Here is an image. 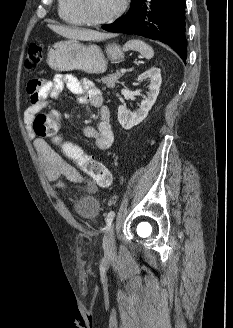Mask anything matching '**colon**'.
Here are the masks:
<instances>
[{"instance_id": "5ec220e1", "label": "colon", "mask_w": 233, "mask_h": 328, "mask_svg": "<svg viewBox=\"0 0 233 328\" xmlns=\"http://www.w3.org/2000/svg\"><path fill=\"white\" fill-rule=\"evenodd\" d=\"M43 58L42 46L31 43L27 50L25 66L36 69ZM33 132L40 138H52L60 153L71 162L81 166L101 187H108L112 182L109 170L102 164L91 160L81 149L71 143H63L57 136L60 126V115L57 112H39L32 121Z\"/></svg>"}]
</instances>
